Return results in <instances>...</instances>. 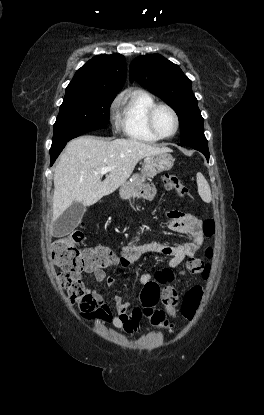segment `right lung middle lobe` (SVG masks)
I'll use <instances>...</instances> for the list:
<instances>
[{
  "mask_svg": "<svg viewBox=\"0 0 264 415\" xmlns=\"http://www.w3.org/2000/svg\"><path fill=\"white\" fill-rule=\"evenodd\" d=\"M115 96H65L54 124L51 149H56L89 131L106 128L110 105Z\"/></svg>",
  "mask_w": 264,
  "mask_h": 415,
  "instance_id": "1",
  "label": "right lung middle lobe"
}]
</instances>
